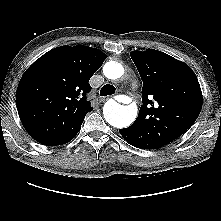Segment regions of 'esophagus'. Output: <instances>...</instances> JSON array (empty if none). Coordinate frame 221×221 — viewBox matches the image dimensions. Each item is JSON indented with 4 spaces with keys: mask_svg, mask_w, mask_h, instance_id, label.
<instances>
[{
    "mask_svg": "<svg viewBox=\"0 0 221 221\" xmlns=\"http://www.w3.org/2000/svg\"><path fill=\"white\" fill-rule=\"evenodd\" d=\"M107 99H108V97H101V98H99V102L100 103L105 102Z\"/></svg>",
    "mask_w": 221,
    "mask_h": 221,
    "instance_id": "esophagus-1",
    "label": "esophagus"
}]
</instances>
